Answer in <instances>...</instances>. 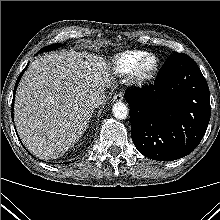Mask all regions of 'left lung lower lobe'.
Returning a JSON list of instances; mask_svg holds the SVG:
<instances>
[{
	"mask_svg": "<svg viewBox=\"0 0 220 220\" xmlns=\"http://www.w3.org/2000/svg\"><path fill=\"white\" fill-rule=\"evenodd\" d=\"M131 137L150 159L171 161L190 154L202 140L211 115L208 84L186 54L170 55L154 85L125 94Z\"/></svg>",
	"mask_w": 220,
	"mask_h": 220,
	"instance_id": "0a47b994",
	"label": "left lung lower lobe"
}]
</instances>
